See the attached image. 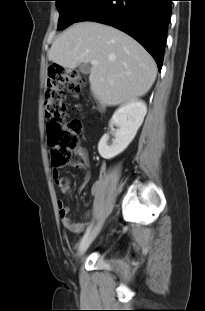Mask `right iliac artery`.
<instances>
[{
    "label": "right iliac artery",
    "instance_id": "right-iliac-artery-1",
    "mask_svg": "<svg viewBox=\"0 0 205 311\" xmlns=\"http://www.w3.org/2000/svg\"><path fill=\"white\" fill-rule=\"evenodd\" d=\"M91 229H92V225H89L88 228L86 229L85 233H84L83 238L86 237L90 233Z\"/></svg>",
    "mask_w": 205,
    "mask_h": 311
}]
</instances>
